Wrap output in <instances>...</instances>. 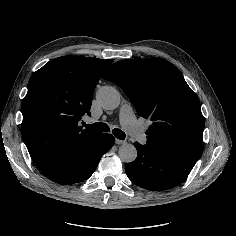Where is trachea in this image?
Here are the masks:
<instances>
[{"mask_svg":"<svg viewBox=\"0 0 236 236\" xmlns=\"http://www.w3.org/2000/svg\"><path fill=\"white\" fill-rule=\"evenodd\" d=\"M82 125L86 127V129L89 130H94V131H98V132H108L110 130V127L108 124L106 123H94V124H86L85 122H82ZM112 133L113 135L120 139V140H124L125 139V133L117 128L112 129Z\"/></svg>","mask_w":236,"mask_h":236,"instance_id":"obj_1","label":"trachea"}]
</instances>
